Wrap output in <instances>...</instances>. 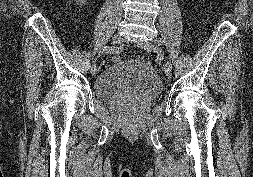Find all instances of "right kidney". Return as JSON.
I'll return each mask as SVG.
<instances>
[{
	"label": "right kidney",
	"instance_id": "1",
	"mask_svg": "<svg viewBox=\"0 0 253 177\" xmlns=\"http://www.w3.org/2000/svg\"><path fill=\"white\" fill-rule=\"evenodd\" d=\"M75 1H76L77 3H79V4L82 5V4H85L87 0H75Z\"/></svg>",
	"mask_w": 253,
	"mask_h": 177
}]
</instances>
